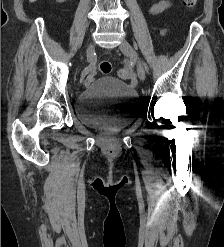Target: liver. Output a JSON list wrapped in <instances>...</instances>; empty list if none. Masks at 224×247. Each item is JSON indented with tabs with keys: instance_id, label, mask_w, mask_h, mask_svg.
Wrapping results in <instances>:
<instances>
[{
	"instance_id": "6515ba94",
	"label": "liver",
	"mask_w": 224,
	"mask_h": 247,
	"mask_svg": "<svg viewBox=\"0 0 224 247\" xmlns=\"http://www.w3.org/2000/svg\"><path fill=\"white\" fill-rule=\"evenodd\" d=\"M29 2H36V0H29Z\"/></svg>"
}]
</instances>
